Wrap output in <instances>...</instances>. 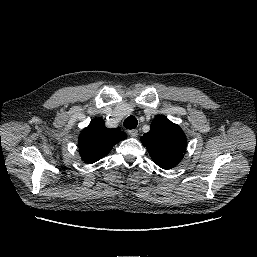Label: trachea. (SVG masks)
I'll use <instances>...</instances> for the list:
<instances>
[{"label": "trachea", "mask_w": 257, "mask_h": 257, "mask_svg": "<svg viewBox=\"0 0 257 257\" xmlns=\"http://www.w3.org/2000/svg\"><path fill=\"white\" fill-rule=\"evenodd\" d=\"M138 124L137 119L134 116H129L124 120V127L127 129H134Z\"/></svg>", "instance_id": "1"}]
</instances>
